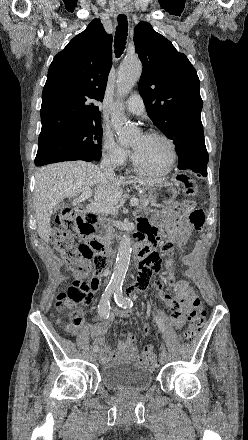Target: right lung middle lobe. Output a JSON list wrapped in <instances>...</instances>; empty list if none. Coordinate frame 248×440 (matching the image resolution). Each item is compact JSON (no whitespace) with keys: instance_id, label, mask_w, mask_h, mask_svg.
<instances>
[{"instance_id":"dd1d6c3e","label":"right lung middle lobe","mask_w":248,"mask_h":440,"mask_svg":"<svg viewBox=\"0 0 248 440\" xmlns=\"http://www.w3.org/2000/svg\"><path fill=\"white\" fill-rule=\"evenodd\" d=\"M102 134L99 122L40 134L35 165L89 158L100 160Z\"/></svg>"}]
</instances>
